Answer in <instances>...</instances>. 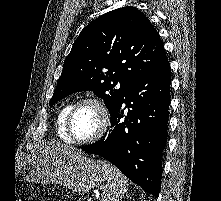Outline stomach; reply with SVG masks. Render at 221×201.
Returning <instances> with one entry per match:
<instances>
[{
  "label": "stomach",
  "mask_w": 221,
  "mask_h": 201,
  "mask_svg": "<svg viewBox=\"0 0 221 201\" xmlns=\"http://www.w3.org/2000/svg\"><path fill=\"white\" fill-rule=\"evenodd\" d=\"M24 180L35 183L61 184L74 192H87L103 180L98 163L74 150L57 152L43 148L30 154L23 166Z\"/></svg>",
  "instance_id": "1"
}]
</instances>
